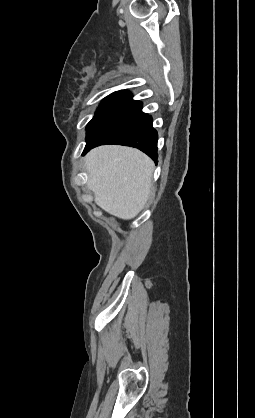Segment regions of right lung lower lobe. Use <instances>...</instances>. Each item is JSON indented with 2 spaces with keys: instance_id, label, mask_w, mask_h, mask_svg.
<instances>
[{
  "instance_id": "1",
  "label": "right lung lower lobe",
  "mask_w": 255,
  "mask_h": 418,
  "mask_svg": "<svg viewBox=\"0 0 255 418\" xmlns=\"http://www.w3.org/2000/svg\"><path fill=\"white\" fill-rule=\"evenodd\" d=\"M141 109L142 103L128 91L114 96L88 126L83 155L99 145L118 144L138 148L157 163L158 134L151 116Z\"/></svg>"
}]
</instances>
